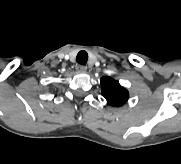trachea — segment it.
<instances>
[{
    "label": "trachea",
    "instance_id": "1",
    "mask_svg": "<svg viewBox=\"0 0 181 164\" xmlns=\"http://www.w3.org/2000/svg\"><path fill=\"white\" fill-rule=\"evenodd\" d=\"M76 61L77 63L81 64V65H85L88 61V54L86 51H80L78 54H77V57H76Z\"/></svg>",
    "mask_w": 181,
    "mask_h": 164
}]
</instances>
